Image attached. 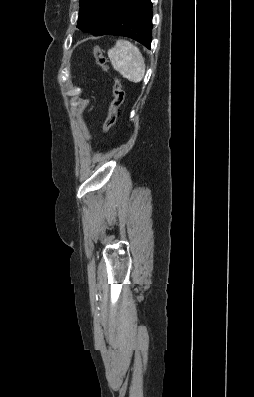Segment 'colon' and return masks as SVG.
Here are the masks:
<instances>
[{
	"label": "colon",
	"mask_w": 254,
	"mask_h": 397,
	"mask_svg": "<svg viewBox=\"0 0 254 397\" xmlns=\"http://www.w3.org/2000/svg\"><path fill=\"white\" fill-rule=\"evenodd\" d=\"M94 55L96 58L97 63L104 69L108 70L106 58L104 57L102 50L99 46L94 47ZM113 100L110 103L108 109V116L103 124V132L107 133L113 127L116 122L119 108L123 103L124 100V91L122 89V85L120 80L117 77L113 78Z\"/></svg>",
	"instance_id": "obj_1"
}]
</instances>
